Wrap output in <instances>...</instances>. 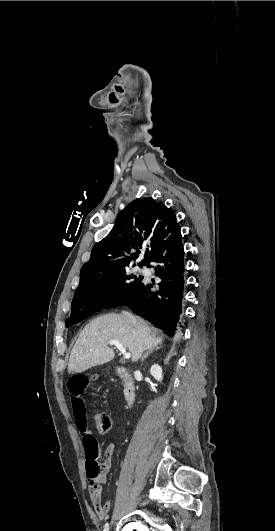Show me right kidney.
<instances>
[{
  "label": "right kidney",
  "mask_w": 275,
  "mask_h": 531,
  "mask_svg": "<svg viewBox=\"0 0 275 531\" xmlns=\"http://www.w3.org/2000/svg\"><path fill=\"white\" fill-rule=\"evenodd\" d=\"M150 373H151L152 377H154V379H156V381H162L163 373H162V369H161V367H159V365H152V367L150 369Z\"/></svg>",
  "instance_id": "1"
}]
</instances>
